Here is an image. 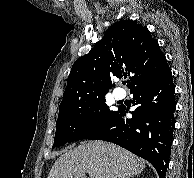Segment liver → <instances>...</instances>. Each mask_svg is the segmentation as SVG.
<instances>
[{"mask_svg": "<svg viewBox=\"0 0 194 178\" xmlns=\"http://www.w3.org/2000/svg\"><path fill=\"white\" fill-rule=\"evenodd\" d=\"M146 162L129 151L104 141H89L61 155L48 178H130L140 174Z\"/></svg>", "mask_w": 194, "mask_h": 178, "instance_id": "1", "label": "liver"}]
</instances>
